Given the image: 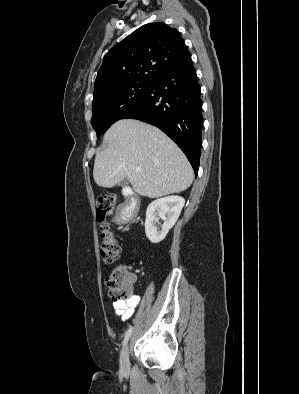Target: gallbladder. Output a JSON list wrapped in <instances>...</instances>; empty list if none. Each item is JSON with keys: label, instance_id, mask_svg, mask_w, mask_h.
I'll use <instances>...</instances> for the list:
<instances>
[{"label": "gallbladder", "instance_id": "bac80fb5", "mask_svg": "<svg viewBox=\"0 0 299 394\" xmlns=\"http://www.w3.org/2000/svg\"><path fill=\"white\" fill-rule=\"evenodd\" d=\"M119 185H120L121 187H125L126 185H128V179L125 177L124 179H122V180L119 182Z\"/></svg>", "mask_w": 299, "mask_h": 394}]
</instances>
